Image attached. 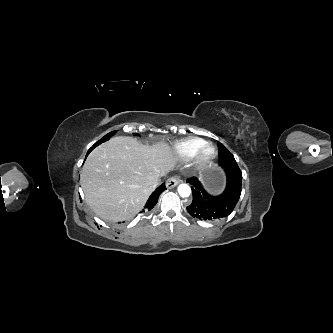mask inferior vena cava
<instances>
[{
    "instance_id": "inferior-vena-cava-1",
    "label": "inferior vena cava",
    "mask_w": 333,
    "mask_h": 333,
    "mask_svg": "<svg viewBox=\"0 0 333 333\" xmlns=\"http://www.w3.org/2000/svg\"><path fill=\"white\" fill-rule=\"evenodd\" d=\"M159 185V182L155 183L152 187L155 189Z\"/></svg>"
}]
</instances>
